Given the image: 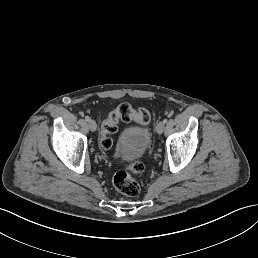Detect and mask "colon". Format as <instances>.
Returning a JSON list of instances; mask_svg holds the SVG:
<instances>
[{
	"label": "colon",
	"mask_w": 258,
	"mask_h": 258,
	"mask_svg": "<svg viewBox=\"0 0 258 258\" xmlns=\"http://www.w3.org/2000/svg\"><path fill=\"white\" fill-rule=\"evenodd\" d=\"M150 119L151 116L147 109L142 107L136 109L127 102L121 103L102 123V147L105 150L113 148L114 144L111 136L117 132L119 122H136L147 125ZM143 170L144 164L139 161L119 170L113 178V184L117 191L128 197L137 196L141 188L136 175L142 173Z\"/></svg>",
	"instance_id": "colon-1"
}]
</instances>
